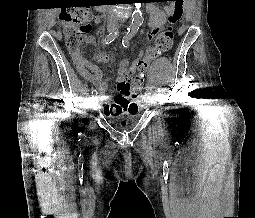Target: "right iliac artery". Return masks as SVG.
<instances>
[{
  "label": "right iliac artery",
  "instance_id": "obj_1",
  "mask_svg": "<svg viewBox=\"0 0 255 218\" xmlns=\"http://www.w3.org/2000/svg\"><path fill=\"white\" fill-rule=\"evenodd\" d=\"M118 35V32H115V33H110L109 35L106 36L105 40H104V43L106 45L112 43L115 38L117 37ZM91 95L92 97H94L95 95H97V90L96 89H93L92 92H91Z\"/></svg>",
  "mask_w": 255,
  "mask_h": 218
}]
</instances>
